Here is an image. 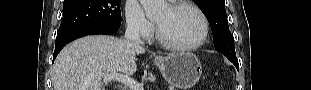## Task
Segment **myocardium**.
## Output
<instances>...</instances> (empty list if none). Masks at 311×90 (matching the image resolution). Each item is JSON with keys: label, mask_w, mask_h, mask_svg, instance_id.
Instances as JSON below:
<instances>
[{"label": "myocardium", "mask_w": 311, "mask_h": 90, "mask_svg": "<svg viewBox=\"0 0 311 90\" xmlns=\"http://www.w3.org/2000/svg\"><path fill=\"white\" fill-rule=\"evenodd\" d=\"M180 8L191 9L192 11H194L199 16V18L201 19V22H202V26H203V31H202L200 38L196 42H194L192 44H188V45L173 44V43L167 41L162 36L160 29H159V26L156 23V39L159 42V44H161L166 49H169L172 51H178V52H189V51H192V50L199 48L207 40L208 35H209V21H208L206 15L197 6H195L192 3H189L186 1H180V2L169 5L170 11H175V10H178Z\"/></svg>", "instance_id": "obj_1"}]
</instances>
